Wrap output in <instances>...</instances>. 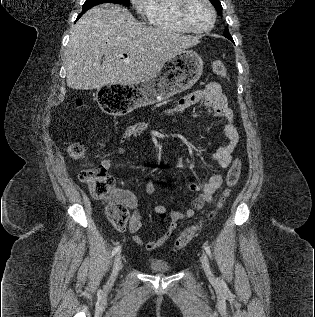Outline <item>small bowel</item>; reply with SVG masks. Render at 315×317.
Wrapping results in <instances>:
<instances>
[{
  "mask_svg": "<svg viewBox=\"0 0 315 317\" xmlns=\"http://www.w3.org/2000/svg\"><path fill=\"white\" fill-rule=\"evenodd\" d=\"M202 102L206 109L212 110L214 115L218 118H223L226 121L224 132L227 137V143L224 146L219 147L212 155L211 158L215 160L221 168H227L232 161V152L235 149L239 135L237 127L234 123V114L230 108L226 97L221 91V87L216 82L209 83L204 89L194 91L181 99H179L174 107L168 110L165 114L168 116H176L188 123L182 118V113L191 105ZM149 123L138 122L129 125L121 137V142L124 143L128 139L136 138L143 132L149 129ZM119 154L124 153L123 148L118 149ZM101 165L107 170L112 167V160L108 157L103 158ZM178 167H182V161H178ZM223 182L221 174L212 175L203 184L191 183L188 188L192 192H198L197 197L191 202V207L185 211H171L168 212L166 207L160 204L154 206V212L161 219L162 225L165 227L164 233L156 240H145L138 235L139 230L142 227V217L138 210V203L133 194L126 190L117 191L118 194L125 200L128 208L131 210L129 231L133 235V240L139 245H142L147 250H154L163 244L171 237L177 224L180 220L185 218H191L194 216L195 211L200 210L205 205L209 204L213 200L215 192L220 188ZM156 191V185L154 181H149L146 185V192L149 195L154 194ZM169 218V222L166 219Z\"/></svg>",
  "mask_w": 315,
  "mask_h": 317,
  "instance_id": "obj_1",
  "label": "small bowel"
}]
</instances>
